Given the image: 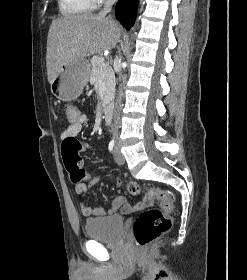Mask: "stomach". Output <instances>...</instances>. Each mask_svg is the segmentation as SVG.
Returning a JSON list of instances; mask_svg holds the SVG:
<instances>
[{
  "mask_svg": "<svg viewBox=\"0 0 247 280\" xmlns=\"http://www.w3.org/2000/svg\"><path fill=\"white\" fill-rule=\"evenodd\" d=\"M90 71V63L85 58L68 61L51 83V92L62 101L77 99L89 80Z\"/></svg>",
  "mask_w": 247,
  "mask_h": 280,
  "instance_id": "obj_1",
  "label": "stomach"
}]
</instances>
